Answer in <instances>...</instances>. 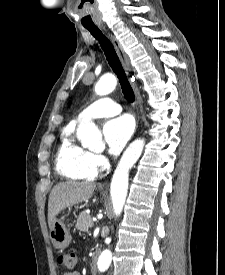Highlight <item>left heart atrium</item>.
I'll use <instances>...</instances> for the list:
<instances>
[{
	"instance_id": "left-heart-atrium-1",
	"label": "left heart atrium",
	"mask_w": 225,
	"mask_h": 275,
	"mask_svg": "<svg viewBox=\"0 0 225 275\" xmlns=\"http://www.w3.org/2000/svg\"><path fill=\"white\" fill-rule=\"evenodd\" d=\"M133 130V121L126 115L113 118L106 122L103 127V134L109 152L113 155L118 154L132 136Z\"/></svg>"
}]
</instances>
